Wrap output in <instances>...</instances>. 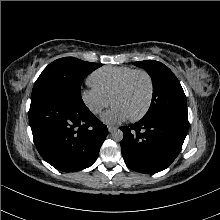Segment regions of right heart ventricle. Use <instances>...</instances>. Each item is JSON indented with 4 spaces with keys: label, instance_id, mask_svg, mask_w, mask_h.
<instances>
[{
    "label": "right heart ventricle",
    "instance_id": "e07e8e85",
    "mask_svg": "<svg viewBox=\"0 0 220 220\" xmlns=\"http://www.w3.org/2000/svg\"><path fill=\"white\" fill-rule=\"evenodd\" d=\"M134 70L128 66L102 67L90 75L89 83L110 98L123 79Z\"/></svg>",
    "mask_w": 220,
    "mask_h": 220
}]
</instances>
